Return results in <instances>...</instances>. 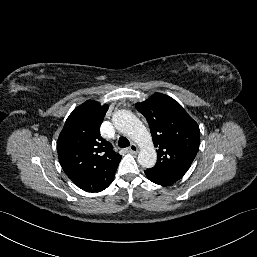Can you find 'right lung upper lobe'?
Returning <instances> with one entry per match:
<instances>
[{
  "mask_svg": "<svg viewBox=\"0 0 257 257\" xmlns=\"http://www.w3.org/2000/svg\"><path fill=\"white\" fill-rule=\"evenodd\" d=\"M107 110V104L87 100L69 115L58 138V157L64 172L86 192L106 189L121 160V155L100 136Z\"/></svg>",
  "mask_w": 257,
  "mask_h": 257,
  "instance_id": "obj_1",
  "label": "right lung upper lobe"
}]
</instances>
